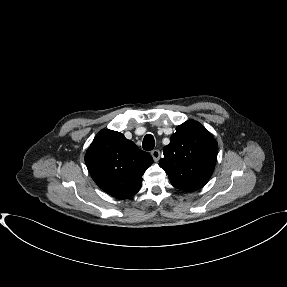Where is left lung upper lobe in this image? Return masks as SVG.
I'll use <instances>...</instances> for the list:
<instances>
[{"instance_id":"1","label":"left lung upper lobe","mask_w":287,"mask_h":287,"mask_svg":"<svg viewBox=\"0 0 287 287\" xmlns=\"http://www.w3.org/2000/svg\"><path fill=\"white\" fill-rule=\"evenodd\" d=\"M218 144L200 123L188 120L176 128L170 144L163 148L159 165L171 184L195 191L210 179L216 164Z\"/></svg>"}]
</instances>
